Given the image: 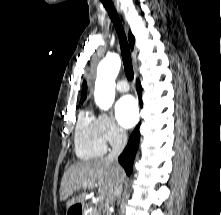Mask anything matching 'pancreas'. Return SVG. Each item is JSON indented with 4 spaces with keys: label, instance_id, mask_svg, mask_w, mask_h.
Returning <instances> with one entry per match:
<instances>
[{
    "label": "pancreas",
    "instance_id": "cf45deb5",
    "mask_svg": "<svg viewBox=\"0 0 221 215\" xmlns=\"http://www.w3.org/2000/svg\"><path fill=\"white\" fill-rule=\"evenodd\" d=\"M87 215H101V211L99 209H97V207H93L88 210Z\"/></svg>",
    "mask_w": 221,
    "mask_h": 215
}]
</instances>
